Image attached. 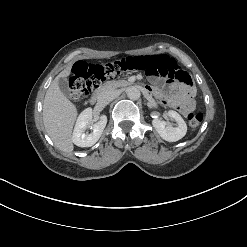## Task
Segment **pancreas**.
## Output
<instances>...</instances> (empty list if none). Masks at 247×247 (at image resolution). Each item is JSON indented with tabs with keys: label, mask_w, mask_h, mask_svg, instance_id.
<instances>
[{
	"label": "pancreas",
	"mask_w": 247,
	"mask_h": 247,
	"mask_svg": "<svg viewBox=\"0 0 247 247\" xmlns=\"http://www.w3.org/2000/svg\"><path fill=\"white\" fill-rule=\"evenodd\" d=\"M130 83L126 80H114L112 82L107 83L106 85H104L99 92L103 91V90H107V89H112V88H119V87H123V86H127Z\"/></svg>",
	"instance_id": "obj_1"
}]
</instances>
